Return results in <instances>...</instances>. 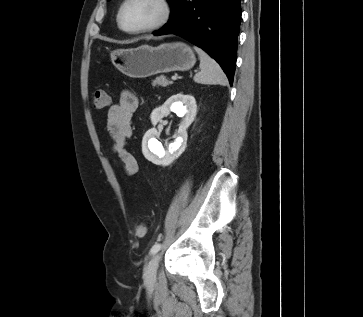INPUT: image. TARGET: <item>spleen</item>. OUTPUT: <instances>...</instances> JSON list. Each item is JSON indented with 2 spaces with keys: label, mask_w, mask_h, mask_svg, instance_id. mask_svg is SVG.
<instances>
[{
  "label": "spleen",
  "mask_w": 363,
  "mask_h": 317,
  "mask_svg": "<svg viewBox=\"0 0 363 317\" xmlns=\"http://www.w3.org/2000/svg\"><path fill=\"white\" fill-rule=\"evenodd\" d=\"M200 58L201 71L194 76V81L200 84L227 85L228 80L220 65L199 47H194Z\"/></svg>",
  "instance_id": "3e777b00"
}]
</instances>
